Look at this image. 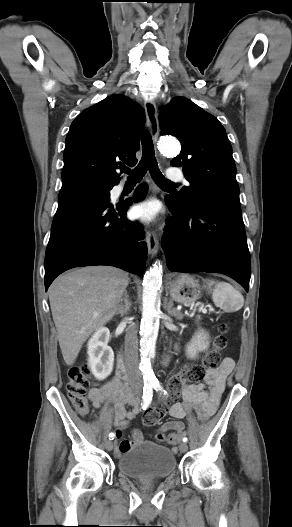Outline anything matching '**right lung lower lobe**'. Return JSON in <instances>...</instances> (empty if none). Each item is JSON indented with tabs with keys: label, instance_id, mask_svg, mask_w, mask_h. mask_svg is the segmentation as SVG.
Here are the masks:
<instances>
[{
	"label": "right lung lower lobe",
	"instance_id": "obj_1",
	"mask_svg": "<svg viewBox=\"0 0 292 527\" xmlns=\"http://www.w3.org/2000/svg\"><path fill=\"white\" fill-rule=\"evenodd\" d=\"M146 185L134 201L144 198ZM110 198L86 191L59 193L45 256V288L62 272L82 266L111 265L135 274L145 271L147 244L141 226L125 219L131 200L111 205Z\"/></svg>",
	"mask_w": 292,
	"mask_h": 527
}]
</instances>
